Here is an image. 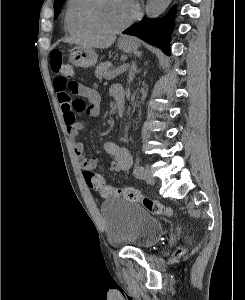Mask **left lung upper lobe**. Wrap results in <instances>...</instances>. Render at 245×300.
Instances as JSON below:
<instances>
[{
	"label": "left lung upper lobe",
	"instance_id": "obj_1",
	"mask_svg": "<svg viewBox=\"0 0 245 300\" xmlns=\"http://www.w3.org/2000/svg\"><path fill=\"white\" fill-rule=\"evenodd\" d=\"M65 0H55L54 2V17L56 18L61 11V6Z\"/></svg>",
	"mask_w": 245,
	"mask_h": 300
}]
</instances>
